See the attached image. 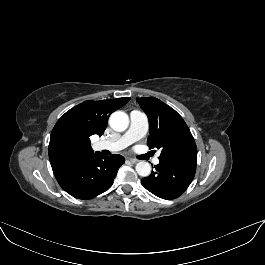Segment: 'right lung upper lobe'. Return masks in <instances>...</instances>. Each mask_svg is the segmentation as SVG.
Returning <instances> with one entry per match:
<instances>
[{
	"label": "right lung upper lobe",
	"instance_id": "1",
	"mask_svg": "<svg viewBox=\"0 0 265 265\" xmlns=\"http://www.w3.org/2000/svg\"><path fill=\"white\" fill-rule=\"evenodd\" d=\"M129 100V97L89 100L67 111L51 132L49 160L53 172L92 156L94 151L90 146V136H101L110 114Z\"/></svg>",
	"mask_w": 265,
	"mask_h": 265
}]
</instances>
